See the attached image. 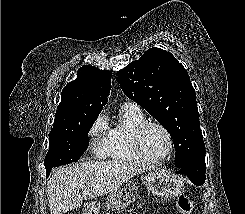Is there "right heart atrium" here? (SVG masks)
<instances>
[{"label": "right heart atrium", "mask_w": 245, "mask_h": 214, "mask_svg": "<svg viewBox=\"0 0 245 214\" xmlns=\"http://www.w3.org/2000/svg\"><path fill=\"white\" fill-rule=\"evenodd\" d=\"M107 117L101 113L90 126L88 135L92 153L96 157H103L106 154V139L108 135Z\"/></svg>", "instance_id": "obj_1"}]
</instances>
